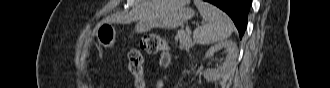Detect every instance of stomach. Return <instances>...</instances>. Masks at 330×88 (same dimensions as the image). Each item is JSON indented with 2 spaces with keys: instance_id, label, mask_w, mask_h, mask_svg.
<instances>
[{
  "instance_id": "1",
  "label": "stomach",
  "mask_w": 330,
  "mask_h": 88,
  "mask_svg": "<svg viewBox=\"0 0 330 88\" xmlns=\"http://www.w3.org/2000/svg\"><path fill=\"white\" fill-rule=\"evenodd\" d=\"M194 10L180 0H155L154 7L146 19L135 26L136 33L153 28L175 29L194 17ZM98 43L103 47H113L116 41L115 26L102 22L96 29Z\"/></svg>"
}]
</instances>
